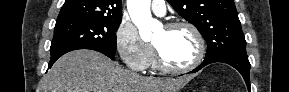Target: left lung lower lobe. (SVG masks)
<instances>
[{
	"label": "left lung lower lobe",
	"mask_w": 289,
	"mask_h": 92,
	"mask_svg": "<svg viewBox=\"0 0 289 92\" xmlns=\"http://www.w3.org/2000/svg\"><path fill=\"white\" fill-rule=\"evenodd\" d=\"M215 62H222L231 65L235 69H237L241 75L243 76L247 88L250 91V78H249V72H250V63L248 60V56L244 55H238V54H223V55H217L208 59H204V61L201 63L200 66H198L196 69L189 73H195L199 71L204 66L215 63Z\"/></svg>",
	"instance_id": "0a47b994"
}]
</instances>
